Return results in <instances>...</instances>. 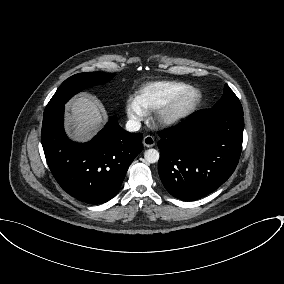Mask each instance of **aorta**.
I'll list each match as a JSON object with an SVG mask.
<instances>
[{"mask_svg": "<svg viewBox=\"0 0 284 284\" xmlns=\"http://www.w3.org/2000/svg\"><path fill=\"white\" fill-rule=\"evenodd\" d=\"M159 156V152L156 149H148L144 152V158L148 163L158 162Z\"/></svg>", "mask_w": 284, "mask_h": 284, "instance_id": "aorta-1", "label": "aorta"}]
</instances>
